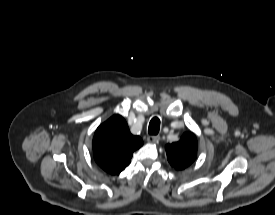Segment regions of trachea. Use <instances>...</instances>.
Instances as JSON below:
<instances>
[{
    "label": "trachea",
    "mask_w": 275,
    "mask_h": 215,
    "mask_svg": "<svg viewBox=\"0 0 275 215\" xmlns=\"http://www.w3.org/2000/svg\"><path fill=\"white\" fill-rule=\"evenodd\" d=\"M160 129V120L158 117H153L149 123L148 133L150 135L158 134Z\"/></svg>",
    "instance_id": "obj_1"
}]
</instances>
